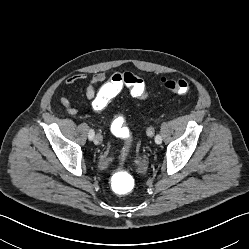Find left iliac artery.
Instances as JSON below:
<instances>
[{
	"label": "left iliac artery",
	"mask_w": 249,
	"mask_h": 249,
	"mask_svg": "<svg viewBox=\"0 0 249 249\" xmlns=\"http://www.w3.org/2000/svg\"><path fill=\"white\" fill-rule=\"evenodd\" d=\"M155 142H156L157 144H161V142H162V137H161L159 134H157V135L155 136Z\"/></svg>",
	"instance_id": "1"
}]
</instances>
